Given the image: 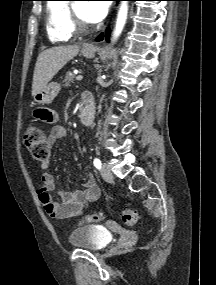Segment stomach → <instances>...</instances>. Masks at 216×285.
I'll return each mask as SVG.
<instances>
[{
  "label": "stomach",
  "instance_id": "0dacf381",
  "mask_svg": "<svg viewBox=\"0 0 216 285\" xmlns=\"http://www.w3.org/2000/svg\"><path fill=\"white\" fill-rule=\"evenodd\" d=\"M98 48L87 50L82 49L81 54L86 58H93ZM60 91V85L57 82L48 83L40 92L34 95V101L38 104L48 105L51 104Z\"/></svg>",
  "mask_w": 216,
  "mask_h": 285
}]
</instances>
